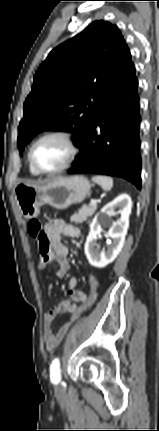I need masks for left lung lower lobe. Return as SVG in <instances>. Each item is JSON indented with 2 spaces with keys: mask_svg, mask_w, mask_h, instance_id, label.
<instances>
[{
  "mask_svg": "<svg viewBox=\"0 0 159 431\" xmlns=\"http://www.w3.org/2000/svg\"><path fill=\"white\" fill-rule=\"evenodd\" d=\"M138 80L132 64L90 121L69 174L124 178L141 189Z\"/></svg>",
  "mask_w": 159,
  "mask_h": 431,
  "instance_id": "obj_1",
  "label": "left lung lower lobe"
}]
</instances>
